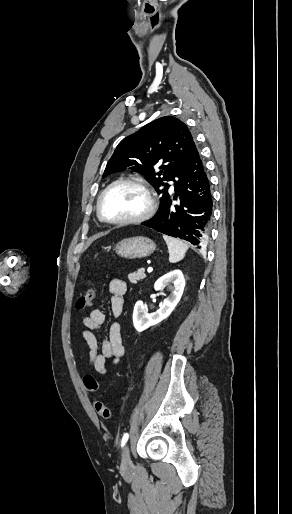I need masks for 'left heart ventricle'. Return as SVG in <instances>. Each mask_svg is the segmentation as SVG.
Listing matches in <instances>:
<instances>
[{
  "instance_id": "1",
  "label": "left heart ventricle",
  "mask_w": 292,
  "mask_h": 514,
  "mask_svg": "<svg viewBox=\"0 0 292 514\" xmlns=\"http://www.w3.org/2000/svg\"><path fill=\"white\" fill-rule=\"evenodd\" d=\"M144 193L132 185H120L111 189L103 198L102 214L111 220L136 216L144 211Z\"/></svg>"
}]
</instances>
